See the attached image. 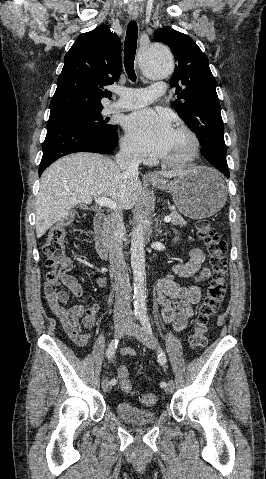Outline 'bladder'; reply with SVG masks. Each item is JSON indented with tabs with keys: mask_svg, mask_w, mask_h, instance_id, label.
Returning <instances> with one entry per match:
<instances>
[{
	"mask_svg": "<svg viewBox=\"0 0 266 479\" xmlns=\"http://www.w3.org/2000/svg\"><path fill=\"white\" fill-rule=\"evenodd\" d=\"M118 416L130 424H147L156 420V412L149 409L137 407L129 402H119L116 404Z\"/></svg>",
	"mask_w": 266,
	"mask_h": 479,
	"instance_id": "31cf9c89",
	"label": "bladder"
}]
</instances>
